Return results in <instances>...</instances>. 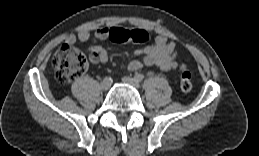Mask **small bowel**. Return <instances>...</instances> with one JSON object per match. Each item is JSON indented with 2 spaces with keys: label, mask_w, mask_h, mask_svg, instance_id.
I'll list each match as a JSON object with an SVG mask.
<instances>
[{
  "label": "small bowel",
  "mask_w": 259,
  "mask_h": 156,
  "mask_svg": "<svg viewBox=\"0 0 259 156\" xmlns=\"http://www.w3.org/2000/svg\"><path fill=\"white\" fill-rule=\"evenodd\" d=\"M116 27H102L95 31V39L102 41L110 37V33ZM90 39V33L86 30L80 31L77 35H68L66 42L73 44L77 40L86 42ZM90 60L93 63H107L109 56L107 51L101 46L94 45L89 47ZM138 59L129 62L128 69L137 71L142 67H157L163 71H185V65L177 61L176 43L164 35L155 37L151 45L138 48L134 51Z\"/></svg>",
  "instance_id": "1"
}]
</instances>
